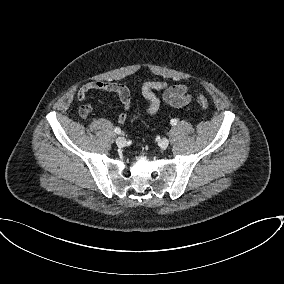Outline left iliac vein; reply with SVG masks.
Segmentation results:
<instances>
[{"mask_svg": "<svg viewBox=\"0 0 284 284\" xmlns=\"http://www.w3.org/2000/svg\"><path fill=\"white\" fill-rule=\"evenodd\" d=\"M169 145V140L167 138H162L159 142V146L162 148V149H166Z\"/></svg>", "mask_w": 284, "mask_h": 284, "instance_id": "obj_1", "label": "left iliac vein"}]
</instances>
